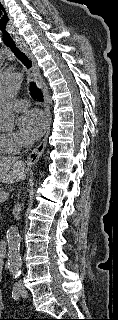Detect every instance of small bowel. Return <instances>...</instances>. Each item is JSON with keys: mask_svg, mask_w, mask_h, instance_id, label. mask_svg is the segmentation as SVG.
<instances>
[{"mask_svg": "<svg viewBox=\"0 0 118 320\" xmlns=\"http://www.w3.org/2000/svg\"><path fill=\"white\" fill-rule=\"evenodd\" d=\"M2 264H0V282L2 280ZM3 308H4V304H3V300H2V293H1V290H0V316L2 314V311H3Z\"/></svg>", "mask_w": 118, "mask_h": 320, "instance_id": "c3829d8e", "label": "small bowel"}]
</instances>
